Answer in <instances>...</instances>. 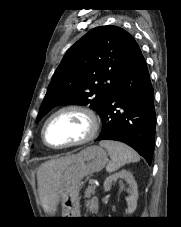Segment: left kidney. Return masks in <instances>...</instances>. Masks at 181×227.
<instances>
[{"label": "left kidney", "instance_id": "obj_1", "mask_svg": "<svg viewBox=\"0 0 181 227\" xmlns=\"http://www.w3.org/2000/svg\"><path fill=\"white\" fill-rule=\"evenodd\" d=\"M117 179H123L129 185V197L127 198V205H128L127 212L128 214H132L137 207V200H138L137 183L130 171L121 170L106 178V180L104 181L105 191H109L111 189L113 182H115Z\"/></svg>", "mask_w": 181, "mask_h": 227}]
</instances>
